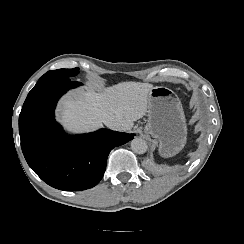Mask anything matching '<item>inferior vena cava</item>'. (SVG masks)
I'll return each mask as SVG.
<instances>
[{
	"label": "inferior vena cava",
	"instance_id": "inferior-vena-cava-1",
	"mask_svg": "<svg viewBox=\"0 0 244 244\" xmlns=\"http://www.w3.org/2000/svg\"><path fill=\"white\" fill-rule=\"evenodd\" d=\"M102 122L105 123L109 128L114 130H125V128L116 120L103 118Z\"/></svg>",
	"mask_w": 244,
	"mask_h": 244
}]
</instances>
